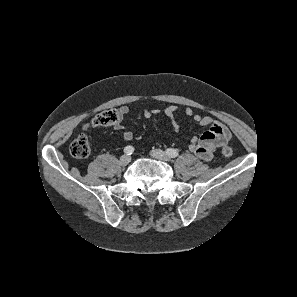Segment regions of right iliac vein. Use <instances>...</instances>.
Returning a JSON list of instances; mask_svg holds the SVG:
<instances>
[{"instance_id":"1","label":"right iliac vein","mask_w":297,"mask_h":297,"mask_svg":"<svg viewBox=\"0 0 297 297\" xmlns=\"http://www.w3.org/2000/svg\"><path fill=\"white\" fill-rule=\"evenodd\" d=\"M131 161V158L127 155H123L120 157L119 164L121 166H127Z\"/></svg>"}]
</instances>
